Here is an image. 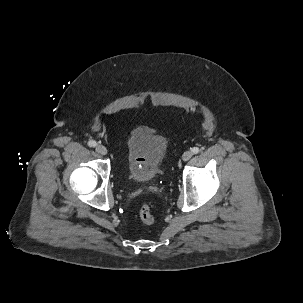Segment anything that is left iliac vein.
I'll return each mask as SVG.
<instances>
[{"mask_svg": "<svg viewBox=\"0 0 303 303\" xmlns=\"http://www.w3.org/2000/svg\"><path fill=\"white\" fill-rule=\"evenodd\" d=\"M193 156V153L191 151H185L182 155V159L184 161H188Z\"/></svg>", "mask_w": 303, "mask_h": 303, "instance_id": "left-iliac-vein-1", "label": "left iliac vein"}]
</instances>
